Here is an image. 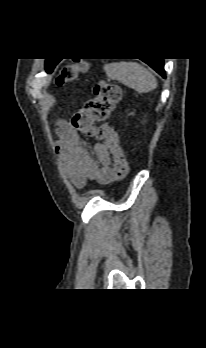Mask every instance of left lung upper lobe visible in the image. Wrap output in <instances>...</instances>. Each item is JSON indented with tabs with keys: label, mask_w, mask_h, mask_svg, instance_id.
Wrapping results in <instances>:
<instances>
[{
	"label": "left lung upper lobe",
	"mask_w": 206,
	"mask_h": 348,
	"mask_svg": "<svg viewBox=\"0 0 206 348\" xmlns=\"http://www.w3.org/2000/svg\"><path fill=\"white\" fill-rule=\"evenodd\" d=\"M58 62L55 61V60H49V59H46V63H45V69L47 72H52V70L54 69V67L56 66Z\"/></svg>",
	"instance_id": "left-lung-upper-lobe-1"
}]
</instances>
